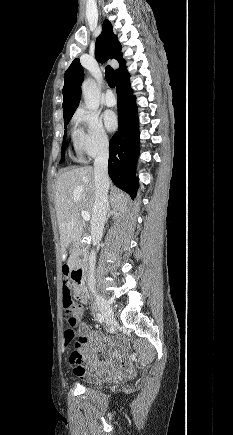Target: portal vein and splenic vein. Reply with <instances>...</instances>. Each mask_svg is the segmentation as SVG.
<instances>
[{
    "label": "portal vein and splenic vein",
    "instance_id": "18ae733b",
    "mask_svg": "<svg viewBox=\"0 0 233 435\" xmlns=\"http://www.w3.org/2000/svg\"><path fill=\"white\" fill-rule=\"evenodd\" d=\"M81 216H82V219L85 220V221H89L90 220V214H89V212H87L85 210L81 211Z\"/></svg>",
    "mask_w": 233,
    "mask_h": 435
}]
</instances>
